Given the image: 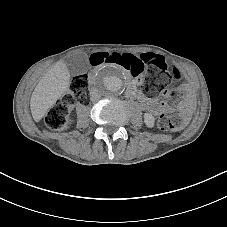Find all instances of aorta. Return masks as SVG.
Wrapping results in <instances>:
<instances>
[{"label":"aorta","mask_w":227,"mask_h":227,"mask_svg":"<svg viewBox=\"0 0 227 227\" xmlns=\"http://www.w3.org/2000/svg\"><path fill=\"white\" fill-rule=\"evenodd\" d=\"M94 87L102 96L118 95L124 88V76L117 67L105 66L97 72Z\"/></svg>","instance_id":"1"}]
</instances>
